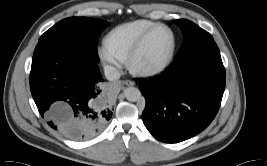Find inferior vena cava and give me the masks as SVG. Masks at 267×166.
Here are the masks:
<instances>
[{"mask_svg":"<svg viewBox=\"0 0 267 166\" xmlns=\"http://www.w3.org/2000/svg\"><path fill=\"white\" fill-rule=\"evenodd\" d=\"M104 74L106 79L109 81H116L120 78V71L112 66H105L104 67Z\"/></svg>","mask_w":267,"mask_h":166,"instance_id":"obj_1","label":"inferior vena cava"}]
</instances>
